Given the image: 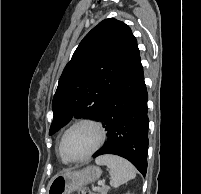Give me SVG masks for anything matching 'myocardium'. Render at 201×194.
<instances>
[{"instance_id":"f54148a6","label":"myocardium","mask_w":201,"mask_h":194,"mask_svg":"<svg viewBox=\"0 0 201 194\" xmlns=\"http://www.w3.org/2000/svg\"><path fill=\"white\" fill-rule=\"evenodd\" d=\"M83 125L90 126V127L95 129V131L97 133L96 144L84 156L79 157V158H68L63 154V151H62L63 140H64L65 136L67 135V133L69 131H71L72 129H74V128L78 127V126H83ZM105 139H106V130H105L104 125L100 121H98L96 119H93V118H81V119H78V120L74 121L72 124H70L64 130V132L62 133V135H61V137L59 139L58 152H59V155L61 156V158L65 162H68V163L82 162V161H85V160L89 159L91 156H93L102 147V145L105 142Z\"/></svg>"}]
</instances>
